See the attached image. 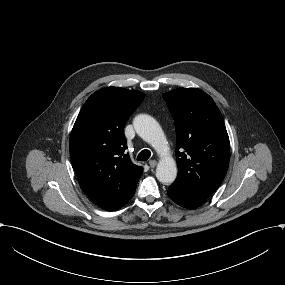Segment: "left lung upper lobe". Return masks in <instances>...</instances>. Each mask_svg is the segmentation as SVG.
I'll list each match as a JSON object with an SVG mask.
<instances>
[{"instance_id":"5c2ea615","label":"left lung upper lobe","mask_w":285,"mask_h":285,"mask_svg":"<svg viewBox=\"0 0 285 285\" xmlns=\"http://www.w3.org/2000/svg\"><path fill=\"white\" fill-rule=\"evenodd\" d=\"M175 121L178 176L175 184L209 198L222 183L230 160L229 137L213 99L196 88L163 94Z\"/></svg>"}]
</instances>
